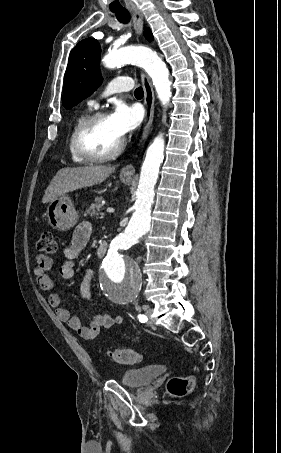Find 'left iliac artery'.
<instances>
[{
	"instance_id": "44dca946",
	"label": "left iliac artery",
	"mask_w": 281,
	"mask_h": 453,
	"mask_svg": "<svg viewBox=\"0 0 281 453\" xmlns=\"http://www.w3.org/2000/svg\"><path fill=\"white\" fill-rule=\"evenodd\" d=\"M138 319H139V321L142 322V323H145V322H147V320H148L147 316H145V315H143V314L138 315Z\"/></svg>"
}]
</instances>
